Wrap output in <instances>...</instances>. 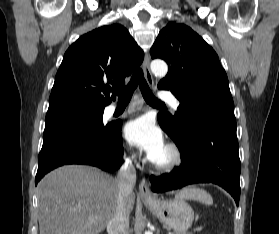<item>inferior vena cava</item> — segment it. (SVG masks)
Returning a JSON list of instances; mask_svg holds the SVG:
<instances>
[{"instance_id":"obj_1","label":"inferior vena cava","mask_w":279,"mask_h":234,"mask_svg":"<svg viewBox=\"0 0 279 234\" xmlns=\"http://www.w3.org/2000/svg\"><path fill=\"white\" fill-rule=\"evenodd\" d=\"M115 180L118 186V201L115 213L107 224V232L108 234H129V214L125 208V201L136 183V172L130 160H126L120 167Z\"/></svg>"}]
</instances>
